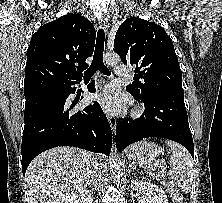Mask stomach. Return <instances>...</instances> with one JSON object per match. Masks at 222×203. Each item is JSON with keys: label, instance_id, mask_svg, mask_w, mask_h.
<instances>
[{"label": "stomach", "instance_id": "1", "mask_svg": "<svg viewBox=\"0 0 222 203\" xmlns=\"http://www.w3.org/2000/svg\"><path fill=\"white\" fill-rule=\"evenodd\" d=\"M162 153V149L153 142L141 141L131 145L127 150V157L135 161L154 159Z\"/></svg>", "mask_w": 222, "mask_h": 203}]
</instances>
